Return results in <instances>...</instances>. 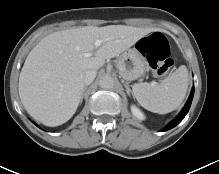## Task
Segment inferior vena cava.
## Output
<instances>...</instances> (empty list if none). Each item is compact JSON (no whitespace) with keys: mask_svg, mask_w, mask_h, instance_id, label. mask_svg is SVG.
Returning a JSON list of instances; mask_svg holds the SVG:
<instances>
[{"mask_svg":"<svg viewBox=\"0 0 219 174\" xmlns=\"http://www.w3.org/2000/svg\"><path fill=\"white\" fill-rule=\"evenodd\" d=\"M95 77H96L95 70H87L82 74L81 79H82L84 85H89L93 82Z\"/></svg>","mask_w":219,"mask_h":174,"instance_id":"602c4592","label":"inferior vena cava"}]
</instances>
